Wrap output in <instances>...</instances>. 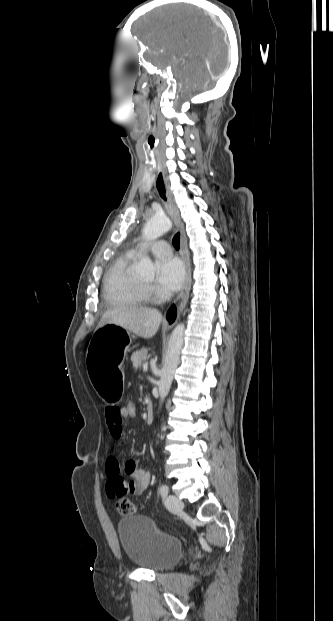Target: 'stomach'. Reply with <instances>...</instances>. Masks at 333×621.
Here are the masks:
<instances>
[{"instance_id": "0dacf381", "label": "stomach", "mask_w": 333, "mask_h": 621, "mask_svg": "<svg viewBox=\"0 0 333 621\" xmlns=\"http://www.w3.org/2000/svg\"><path fill=\"white\" fill-rule=\"evenodd\" d=\"M133 337L120 326L106 324L96 330L91 338L86 363L93 389L98 396H102L106 404H115L125 391L121 353L129 346Z\"/></svg>"}]
</instances>
